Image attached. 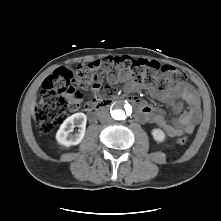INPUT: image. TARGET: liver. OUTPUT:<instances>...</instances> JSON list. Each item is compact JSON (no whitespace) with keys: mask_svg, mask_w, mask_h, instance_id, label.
<instances>
[{"mask_svg":"<svg viewBox=\"0 0 221 221\" xmlns=\"http://www.w3.org/2000/svg\"><path fill=\"white\" fill-rule=\"evenodd\" d=\"M34 106H35V101H33L32 106H31V114L33 118H35Z\"/></svg>","mask_w":221,"mask_h":221,"instance_id":"6515ba94","label":"liver"}]
</instances>
